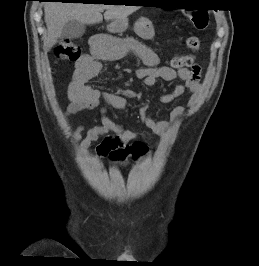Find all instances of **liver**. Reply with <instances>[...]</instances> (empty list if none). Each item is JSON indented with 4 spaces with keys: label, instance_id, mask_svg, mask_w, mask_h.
Returning a JSON list of instances; mask_svg holds the SVG:
<instances>
[{
    "label": "liver",
    "instance_id": "6515ba94",
    "mask_svg": "<svg viewBox=\"0 0 259 266\" xmlns=\"http://www.w3.org/2000/svg\"><path fill=\"white\" fill-rule=\"evenodd\" d=\"M104 19L120 20L127 19V16L138 10V6L125 5H103L83 3H61L48 2L44 6L45 22L47 25V36L44 41V48L49 51L61 36L64 25L76 20L83 24H96Z\"/></svg>",
    "mask_w": 259,
    "mask_h": 266
}]
</instances>
